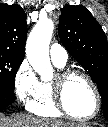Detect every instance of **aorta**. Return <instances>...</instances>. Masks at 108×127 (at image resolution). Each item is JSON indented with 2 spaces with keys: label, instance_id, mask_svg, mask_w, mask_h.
<instances>
[{
  "label": "aorta",
  "instance_id": "762f6f07",
  "mask_svg": "<svg viewBox=\"0 0 108 127\" xmlns=\"http://www.w3.org/2000/svg\"><path fill=\"white\" fill-rule=\"evenodd\" d=\"M54 23L51 19L39 20L32 29L26 43V56L32 68L47 81L53 77L49 58V43Z\"/></svg>",
  "mask_w": 108,
  "mask_h": 127
}]
</instances>
